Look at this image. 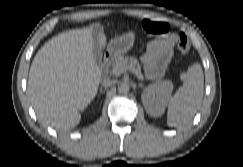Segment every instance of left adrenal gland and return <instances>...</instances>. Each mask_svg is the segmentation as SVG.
<instances>
[{"mask_svg": "<svg viewBox=\"0 0 243 167\" xmlns=\"http://www.w3.org/2000/svg\"><path fill=\"white\" fill-rule=\"evenodd\" d=\"M138 87H139V88H142V87H143V84H142V83H140V84L138 85Z\"/></svg>", "mask_w": 243, "mask_h": 167, "instance_id": "a2214340", "label": "left adrenal gland"}]
</instances>
